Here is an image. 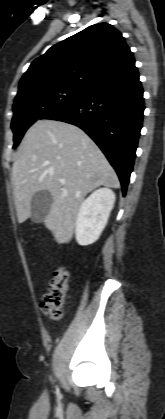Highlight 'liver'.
Returning a JSON list of instances; mask_svg holds the SVG:
<instances>
[{
    "label": "liver",
    "mask_w": 165,
    "mask_h": 419,
    "mask_svg": "<svg viewBox=\"0 0 165 419\" xmlns=\"http://www.w3.org/2000/svg\"><path fill=\"white\" fill-rule=\"evenodd\" d=\"M119 185L93 140L77 126L56 120H38L28 129L12 166L18 222L30 217L32 196L47 190L53 202L44 225L58 243L72 239L80 204L89 192Z\"/></svg>",
    "instance_id": "6515ba94"
}]
</instances>
